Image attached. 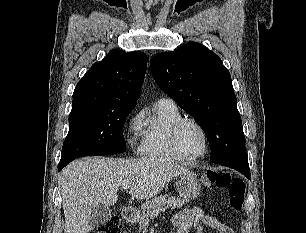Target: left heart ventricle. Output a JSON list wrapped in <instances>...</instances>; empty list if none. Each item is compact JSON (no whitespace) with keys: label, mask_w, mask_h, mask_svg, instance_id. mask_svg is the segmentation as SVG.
Masks as SVG:
<instances>
[{"label":"left heart ventricle","mask_w":306,"mask_h":233,"mask_svg":"<svg viewBox=\"0 0 306 233\" xmlns=\"http://www.w3.org/2000/svg\"><path fill=\"white\" fill-rule=\"evenodd\" d=\"M178 144L187 157H196L204 151V138L201 131L193 124H185L179 133Z\"/></svg>","instance_id":"left-heart-ventricle-1"}]
</instances>
